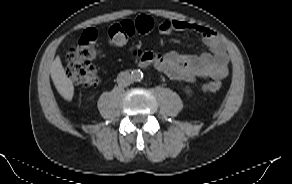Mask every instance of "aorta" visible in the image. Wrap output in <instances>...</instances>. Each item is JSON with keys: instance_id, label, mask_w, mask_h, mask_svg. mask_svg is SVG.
<instances>
[{"instance_id": "762f6f07", "label": "aorta", "mask_w": 292, "mask_h": 184, "mask_svg": "<svg viewBox=\"0 0 292 184\" xmlns=\"http://www.w3.org/2000/svg\"><path fill=\"white\" fill-rule=\"evenodd\" d=\"M132 81H140L143 77V73L140 70H133L131 73Z\"/></svg>"}]
</instances>
